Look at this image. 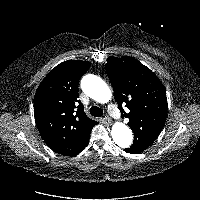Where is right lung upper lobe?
<instances>
[{
    "label": "right lung upper lobe",
    "mask_w": 200,
    "mask_h": 200,
    "mask_svg": "<svg viewBox=\"0 0 200 200\" xmlns=\"http://www.w3.org/2000/svg\"><path fill=\"white\" fill-rule=\"evenodd\" d=\"M90 62L68 60L52 69L34 98L37 128L55 152L75 156L86 145L96 121L87 117L78 100L79 80Z\"/></svg>",
    "instance_id": "obj_1"
}]
</instances>
